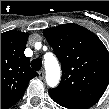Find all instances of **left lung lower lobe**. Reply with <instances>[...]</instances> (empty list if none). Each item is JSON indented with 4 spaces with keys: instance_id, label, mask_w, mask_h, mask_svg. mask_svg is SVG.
I'll use <instances>...</instances> for the list:
<instances>
[{
    "instance_id": "left-lung-lower-lobe-1",
    "label": "left lung lower lobe",
    "mask_w": 109,
    "mask_h": 109,
    "mask_svg": "<svg viewBox=\"0 0 109 109\" xmlns=\"http://www.w3.org/2000/svg\"><path fill=\"white\" fill-rule=\"evenodd\" d=\"M49 94L56 103H58L59 105L67 109H87L91 107L86 103H83L74 98L68 97L66 95L60 94L53 90H49Z\"/></svg>"
}]
</instances>
